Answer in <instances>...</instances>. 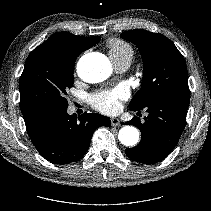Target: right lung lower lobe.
<instances>
[{"label":"right lung lower lobe","instance_id":"right-lung-lower-lobe-1","mask_svg":"<svg viewBox=\"0 0 211 211\" xmlns=\"http://www.w3.org/2000/svg\"><path fill=\"white\" fill-rule=\"evenodd\" d=\"M38 152L54 164H68L82 158L98 126H110L108 117L97 113L69 115L67 108L44 112L25 122Z\"/></svg>","mask_w":211,"mask_h":211}]
</instances>
